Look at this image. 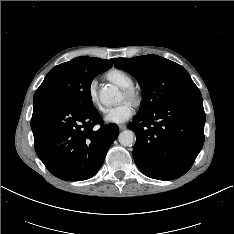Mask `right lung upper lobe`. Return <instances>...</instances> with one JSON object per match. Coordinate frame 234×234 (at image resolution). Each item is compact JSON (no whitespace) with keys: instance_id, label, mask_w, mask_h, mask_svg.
I'll return each mask as SVG.
<instances>
[{"instance_id":"right-lung-upper-lobe-1","label":"right lung upper lobe","mask_w":234,"mask_h":234,"mask_svg":"<svg viewBox=\"0 0 234 234\" xmlns=\"http://www.w3.org/2000/svg\"><path fill=\"white\" fill-rule=\"evenodd\" d=\"M77 60L86 69L107 71L112 67L115 59L103 60L93 57H77Z\"/></svg>"}]
</instances>
